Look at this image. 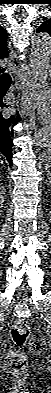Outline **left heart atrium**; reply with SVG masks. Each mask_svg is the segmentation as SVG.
Instances as JSON below:
<instances>
[{
	"label": "left heart atrium",
	"instance_id": "39dd6f15",
	"mask_svg": "<svg viewBox=\"0 0 51 393\" xmlns=\"http://www.w3.org/2000/svg\"><path fill=\"white\" fill-rule=\"evenodd\" d=\"M36 102H37V99L35 97H33V96L28 98V103L36 104Z\"/></svg>",
	"mask_w": 51,
	"mask_h": 393
}]
</instances>
